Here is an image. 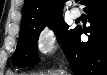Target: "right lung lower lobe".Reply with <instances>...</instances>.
<instances>
[{
	"instance_id": "1",
	"label": "right lung lower lobe",
	"mask_w": 107,
	"mask_h": 75,
	"mask_svg": "<svg viewBox=\"0 0 107 75\" xmlns=\"http://www.w3.org/2000/svg\"><path fill=\"white\" fill-rule=\"evenodd\" d=\"M89 27H76L62 47L75 75H107V0H84ZM88 34V41L80 39Z\"/></svg>"
}]
</instances>
